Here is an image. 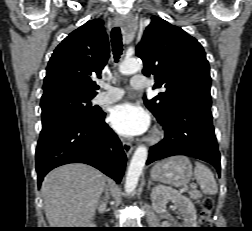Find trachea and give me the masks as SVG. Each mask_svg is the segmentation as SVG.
<instances>
[{
	"mask_svg": "<svg viewBox=\"0 0 252 231\" xmlns=\"http://www.w3.org/2000/svg\"><path fill=\"white\" fill-rule=\"evenodd\" d=\"M111 42L115 62H118L123 51L122 35L119 27H115L112 29Z\"/></svg>",
	"mask_w": 252,
	"mask_h": 231,
	"instance_id": "trachea-1",
	"label": "trachea"
}]
</instances>
